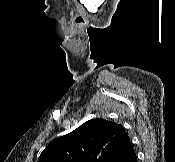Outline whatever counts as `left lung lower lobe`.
Returning <instances> with one entry per match:
<instances>
[{"instance_id": "left-lung-lower-lobe-1", "label": "left lung lower lobe", "mask_w": 175, "mask_h": 162, "mask_svg": "<svg viewBox=\"0 0 175 162\" xmlns=\"http://www.w3.org/2000/svg\"><path fill=\"white\" fill-rule=\"evenodd\" d=\"M107 162H137V157L128 135L114 149Z\"/></svg>"}]
</instances>
